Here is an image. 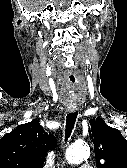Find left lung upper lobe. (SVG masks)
<instances>
[{
  "label": "left lung upper lobe",
  "mask_w": 127,
  "mask_h": 168,
  "mask_svg": "<svg viewBox=\"0 0 127 168\" xmlns=\"http://www.w3.org/2000/svg\"><path fill=\"white\" fill-rule=\"evenodd\" d=\"M89 123L97 168H127V141L120 131L109 127L99 117Z\"/></svg>",
  "instance_id": "1"
}]
</instances>
